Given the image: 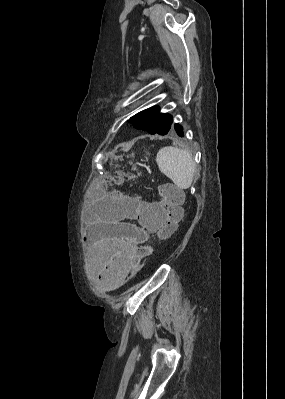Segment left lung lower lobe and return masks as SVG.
<instances>
[{
	"label": "left lung lower lobe",
	"mask_w": 285,
	"mask_h": 399,
	"mask_svg": "<svg viewBox=\"0 0 285 399\" xmlns=\"http://www.w3.org/2000/svg\"><path fill=\"white\" fill-rule=\"evenodd\" d=\"M170 132H174V131H176V133L179 135V136H183V131H182V127L179 125V124H172V126H171V128H170V130H169ZM166 135V134H165Z\"/></svg>",
	"instance_id": "obj_1"
}]
</instances>
